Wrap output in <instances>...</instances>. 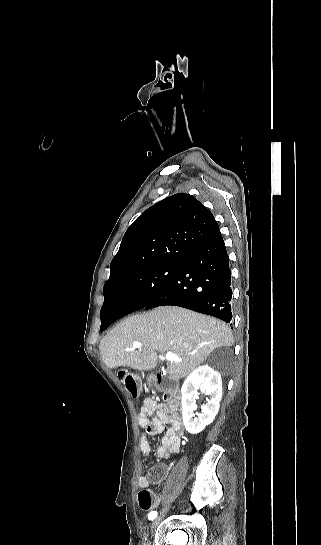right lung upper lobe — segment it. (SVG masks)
<instances>
[{"mask_svg": "<svg viewBox=\"0 0 321 545\" xmlns=\"http://www.w3.org/2000/svg\"><path fill=\"white\" fill-rule=\"evenodd\" d=\"M219 226L194 196L179 193L147 209L127 229L104 288L123 275L156 265H182Z\"/></svg>", "mask_w": 321, "mask_h": 545, "instance_id": "1", "label": "right lung upper lobe"}]
</instances>
